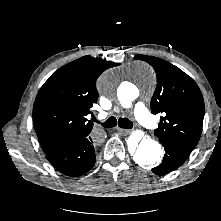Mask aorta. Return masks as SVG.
I'll return each mask as SVG.
<instances>
[{
	"label": "aorta",
	"instance_id": "aorta-1",
	"mask_svg": "<svg viewBox=\"0 0 221 221\" xmlns=\"http://www.w3.org/2000/svg\"><path fill=\"white\" fill-rule=\"evenodd\" d=\"M135 69L140 73H143L146 78L154 79L153 69L146 63H137ZM116 84L115 77L113 75H104L100 80L101 90L110 95ZM118 100L125 107H129L130 103L137 98V92L135 90H122L117 92ZM134 161L143 167L152 166L158 163L161 159V146L160 144L150 138H143L138 144L137 148L133 151Z\"/></svg>",
	"mask_w": 221,
	"mask_h": 221
}]
</instances>
